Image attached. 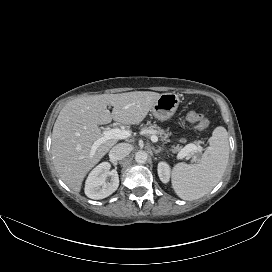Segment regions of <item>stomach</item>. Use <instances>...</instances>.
I'll list each match as a JSON object with an SVG mask.
<instances>
[{"label":"stomach","instance_id":"0dacf381","mask_svg":"<svg viewBox=\"0 0 272 272\" xmlns=\"http://www.w3.org/2000/svg\"><path fill=\"white\" fill-rule=\"evenodd\" d=\"M180 103L179 96L175 93H164L151 109L154 117L160 121L169 120L176 112Z\"/></svg>","mask_w":272,"mask_h":272}]
</instances>
